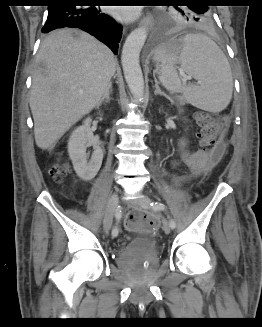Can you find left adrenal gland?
I'll use <instances>...</instances> for the list:
<instances>
[{"label":"left adrenal gland","mask_w":262,"mask_h":327,"mask_svg":"<svg viewBox=\"0 0 262 327\" xmlns=\"http://www.w3.org/2000/svg\"><path fill=\"white\" fill-rule=\"evenodd\" d=\"M155 91H154V94L155 95H160V96H165L166 98H168L169 99V97L165 94V93H163L162 91H161V89L159 88V85H158V83L156 82L155 83Z\"/></svg>","instance_id":"obj_1"}]
</instances>
